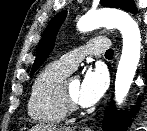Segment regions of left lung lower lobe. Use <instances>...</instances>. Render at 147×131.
Wrapping results in <instances>:
<instances>
[{
	"label": "left lung lower lobe",
	"mask_w": 147,
	"mask_h": 131,
	"mask_svg": "<svg viewBox=\"0 0 147 131\" xmlns=\"http://www.w3.org/2000/svg\"><path fill=\"white\" fill-rule=\"evenodd\" d=\"M127 113H119L116 111L114 105L109 108V115L103 120L104 131H125L128 123Z\"/></svg>",
	"instance_id": "left-lung-lower-lobe-1"
}]
</instances>
